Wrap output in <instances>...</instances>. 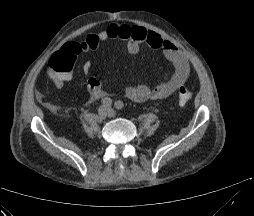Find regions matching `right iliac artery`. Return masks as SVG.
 <instances>
[{"instance_id":"right-iliac-artery-1","label":"right iliac artery","mask_w":254,"mask_h":216,"mask_svg":"<svg viewBox=\"0 0 254 216\" xmlns=\"http://www.w3.org/2000/svg\"><path fill=\"white\" fill-rule=\"evenodd\" d=\"M101 103L104 106H110L112 104V100L110 98L106 97L101 100Z\"/></svg>"}]
</instances>
